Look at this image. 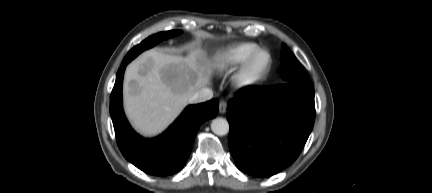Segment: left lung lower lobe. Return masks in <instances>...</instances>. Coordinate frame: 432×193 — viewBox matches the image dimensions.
<instances>
[{"label":"left lung lower lobe","mask_w":432,"mask_h":193,"mask_svg":"<svg viewBox=\"0 0 432 193\" xmlns=\"http://www.w3.org/2000/svg\"><path fill=\"white\" fill-rule=\"evenodd\" d=\"M227 110L229 148L237 167L269 177L303 149L314 124V89L305 83L242 88Z\"/></svg>","instance_id":"0a47b994"}]
</instances>
